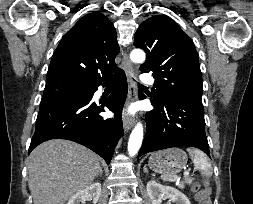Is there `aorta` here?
<instances>
[{
  "label": "aorta",
  "mask_w": 253,
  "mask_h": 204,
  "mask_svg": "<svg viewBox=\"0 0 253 204\" xmlns=\"http://www.w3.org/2000/svg\"><path fill=\"white\" fill-rule=\"evenodd\" d=\"M130 58L135 63H143L145 61V53L140 49L131 52ZM143 140V127L138 123L131 132L128 142V152L130 156H134L140 149Z\"/></svg>",
  "instance_id": "762f6f07"
}]
</instances>
